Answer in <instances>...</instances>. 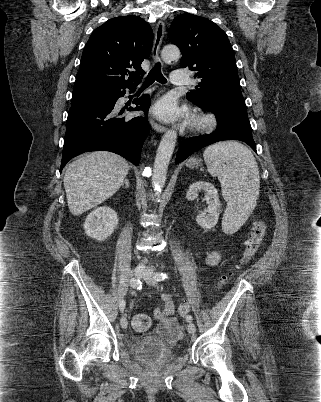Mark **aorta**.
<instances>
[{
	"label": "aorta",
	"instance_id": "obj_1",
	"mask_svg": "<svg viewBox=\"0 0 321 402\" xmlns=\"http://www.w3.org/2000/svg\"><path fill=\"white\" fill-rule=\"evenodd\" d=\"M161 57L166 63H170L171 61L179 59L180 50L175 45H167L162 49ZM176 141L177 133L174 130H168L160 141L155 157L152 176V186L156 191H161L165 185L168 165L172 157Z\"/></svg>",
	"mask_w": 321,
	"mask_h": 402
}]
</instances>
